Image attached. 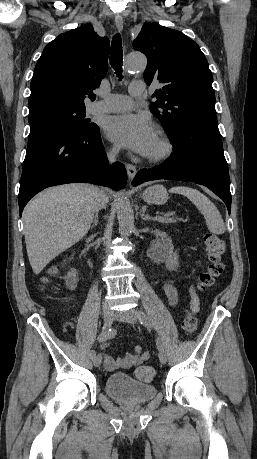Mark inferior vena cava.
Here are the masks:
<instances>
[{"instance_id":"1","label":"inferior vena cava","mask_w":257,"mask_h":459,"mask_svg":"<svg viewBox=\"0 0 257 459\" xmlns=\"http://www.w3.org/2000/svg\"><path fill=\"white\" fill-rule=\"evenodd\" d=\"M116 156H117V151L115 149H113L109 154H108V159L110 162H114L115 159H116ZM107 202V198L106 196L103 194V192L101 191L98 195V199H97V209H100V208H104L105 207V203Z\"/></svg>"}]
</instances>
